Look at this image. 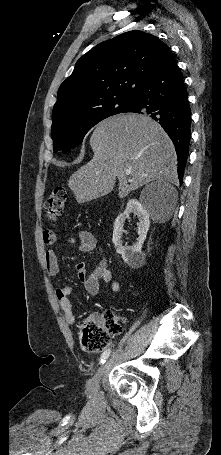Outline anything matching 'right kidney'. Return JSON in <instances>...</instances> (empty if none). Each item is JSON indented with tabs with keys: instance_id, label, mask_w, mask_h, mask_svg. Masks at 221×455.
<instances>
[{
	"instance_id": "1",
	"label": "right kidney",
	"mask_w": 221,
	"mask_h": 455,
	"mask_svg": "<svg viewBox=\"0 0 221 455\" xmlns=\"http://www.w3.org/2000/svg\"><path fill=\"white\" fill-rule=\"evenodd\" d=\"M133 213L137 216L138 223V239L137 242L132 246H123L122 245V232L125 220L129 218V215ZM150 221L149 214L143 208L141 203L137 199H131L126 206L124 213L120 214L114 223L113 230V244L116 247V250L119 254L122 255V259L129 266H136L138 263H141L145 254L141 251L142 245L146 239L147 232L149 230Z\"/></svg>"
}]
</instances>
